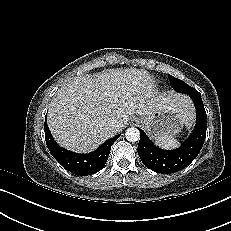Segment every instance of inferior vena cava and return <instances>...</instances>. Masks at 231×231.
<instances>
[{
	"instance_id": "inferior-vena-cava-1",
	"label": "inferior vena cava",
	"mask_w": 231,
	"mask_h": 231,
	"mask_svg": "<svg viewBox=\"0 0 231 231\" xmlns=\"http://www.w3.org/2000/svg\"><path fill=\"white\" fill-rule=\"evenodd\" d=\"M108 128L112 132L117 133L121 130L122 124L119 121L113 120L109 123Z\"/></svg>"
}]
</instances>
